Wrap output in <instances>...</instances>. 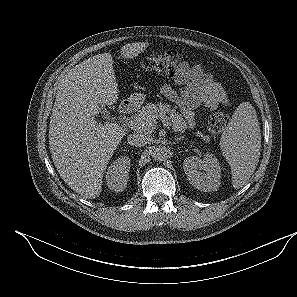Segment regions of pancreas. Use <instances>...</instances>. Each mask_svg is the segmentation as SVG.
Instances as JSON below:
<instances>
[{
  "label": "pancreas",
  "instance_id": "1",
  "mask_svg": "<svg viewBox=\"0 0 297 297\" xmlns=\"http://www.w3.org/2000/svg\"><path fill=\"white\" fill-rule=\"evenodd\" d=\"M167 114L169 115L167 118L168 126H172L175 132L184 133L187 128L186 121L175 109H171L163 104L156 105L148 103L142 107L139 113L133 117V121L135 122L134 128L140 132L150 134L154 131L157 120L165 118ZM197 135L206 138V136H203L199 132Z\"/></svg>",
  "mask_w": 297,
  "mask_h": 297
}]
</instances>
